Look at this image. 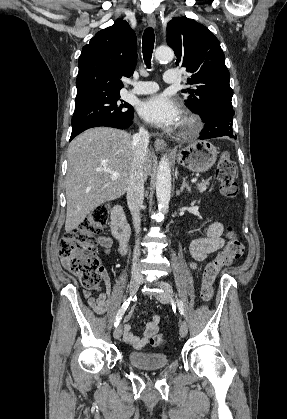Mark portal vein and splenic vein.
Returning <instances> with one entry per match:
<instances>
[{"mask_svg":"<svg viewBox=\"0 0 287 419\" xmlns=\"http://www.w3.org/2000/svg\"><path fill=\"white\" fill-rule=\"evenodd\" d=\"M104 171H106L107 173H109L111 175V177H110L111 180H116L119 177V173L118 172H114V171H111V170H104ZM191 182L192 183H196L197 182V178H193L191 180Z\"/></svg>","mask_w":287,"mask_h":419,"instance_id":"obj_1","label":"portal vein and splenic vein"}]
</instances>
